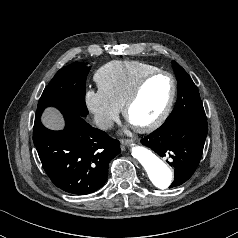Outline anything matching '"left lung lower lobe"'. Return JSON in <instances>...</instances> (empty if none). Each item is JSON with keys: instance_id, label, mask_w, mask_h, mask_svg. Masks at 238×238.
I'll return each instance as SVG.
<instances>
[{"instance_id": "1", "label": "left lung lower lobe", "mask_w": 238, "mask_h": 238, "mask_svg": "<svg viewBox=\"0 0 238 238\" xmlns=\"http://www.w3.org/2000/svg\"><path fill=\"white\" fill-rule=\"evenodd\" d=\"M208 132L205 114L181 115L164 122L157 130L141 140L174 168L170 188L186 182L200 162Z\"/></svg>"}]
</instances>
